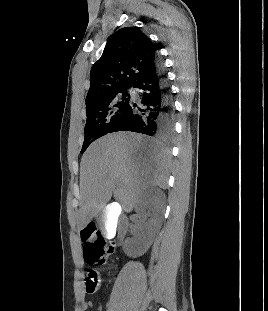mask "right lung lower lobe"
I'll list each match as a JSON object with an SVG mask.
<instances>
[{
    "label": "right lung lower lobe",
    "instance_id": "right-lung-lower-lobe-1",
    "mask_svg": "<svg viewBox=\"0 0 268 311\" xmlns=\"http://www.w3.org/2000/svg\"><path fill=\"white\" fill-rule=\"evenodd\" d=\"M131 87L136 94L109 133L132 131L170 140L175 123L173 100L158 55L154 64Z\"/></svg>",
    "mask_w": 268,
    "mask_h": 311
}]
</instances>
